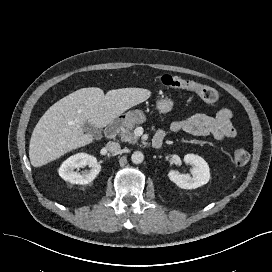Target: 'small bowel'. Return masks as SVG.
<instances>
[{
    "instance_id": "c3829d8e",
    "label": "small bowel",
    "mask_w": 272,
    "mask_h": 272,
    "mask_svg": "<svg viewBox=\"0 0 272 272\" xmlns=\"http://www.w3.org/2000/svg\"><path fill=\"white\" fill-rule=\"evenodd\" d=\"M232 112L229 109H221L216 116L195 114L186 119L176 120L170 125L173 133H185L196 137L212 136L217 140L233 138L236 130L231 122ZM155 136H166L164 130H158Z\"/></svg>"
}]
</instances>
